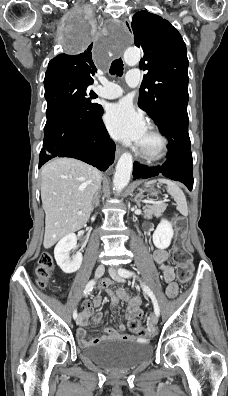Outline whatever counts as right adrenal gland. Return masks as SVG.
<instances>
[{
  "label": "right adrenal gland",
  "mask_w": 228,
  "mask_h": 396,
  "mask_svg": "<svg viewBox=\"0 0 228 396\" xmlns=\"http://www.w3.org/2000/svg\"><path fill=\"white\" fill-rule=\"evenodd\" d=\"M101 187L98 189L96 194L94 195L93 202H92V211L99 205V198H100Z\"/></svg>",
  "instance_id": "obj_1"
}]
</instances>
